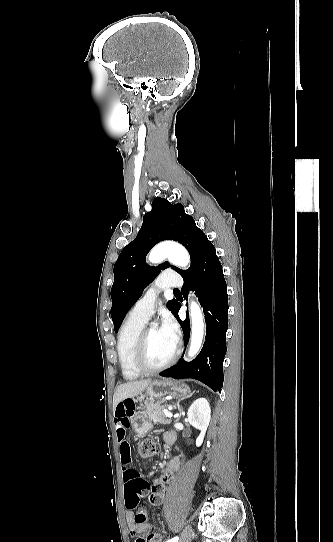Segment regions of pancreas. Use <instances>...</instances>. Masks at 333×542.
<instances>
[{
	"mask_svg": "<svg viewBox=\"0 0 333 542\" xmlns=\"http://www.w3.org/2000/svg\"><path fill=\"white\" fill-rule=\"evenodd\" d=\"M169 404H166V400L162 402H145L144 412H139L140 416L138 418H143V420H148V422H158V424H171V418H167L163 414L164 408H168Z\"/></svg>",
	"mask_w": 333,
	"mask_h": 542,
	"instance_id": "obj_1",
	"label": "pancreas"
}]
</instances>
